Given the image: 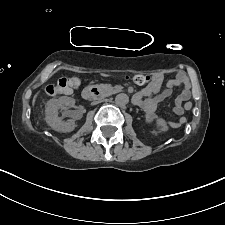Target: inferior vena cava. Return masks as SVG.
I'll use <instances>...</instances> for the list:
<instances>
[{
  "instance_id": "obj_1",
  "label": "inferior vena cava",
  "mask_w": 225,
  "mask_h": 225,
  "mask_svg": "<svg viewBox=\"0 0 225 225\" xmlns=\"http://www.w3.org/2000/svg\"><path fill=\"white\" fill-rule=\"evenodd\" d=\"M103 100L101 99V98H97V99H95L93 102H92V104H98V103H100V102H102Z\"/></svg>"
}]
</instances>
